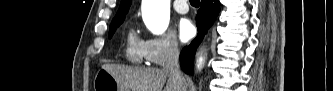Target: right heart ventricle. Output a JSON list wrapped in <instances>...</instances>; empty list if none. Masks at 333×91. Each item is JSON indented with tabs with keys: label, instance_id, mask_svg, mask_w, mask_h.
Returning <instances> with one entry per match:
<instances>
[{
	"label": "right heart ventricle",
	"instance_id": "right-heart-ventricle-1",
	"mask_svg": "<svg viewBox=\"0 0 333 91\" xmlns=\"http://www.w3.org/2000/svg\"><path fill=\"white\" fill-rule=\"evenodd\" d=\"M125 56L132 63H142L145 60L142 41L133 30H129L126 37Z\"/></svg>",
	"mask_w": 333,
	"mask_h": 91
}]
</instances>
